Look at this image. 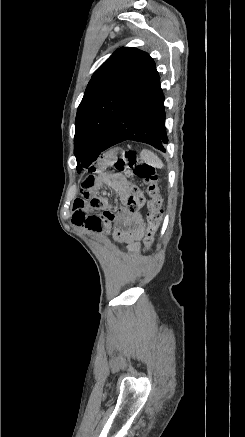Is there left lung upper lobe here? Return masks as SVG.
I'll use <instances>...</instances> for the list:
<instances>
[{"label": "left lung upper lobe", "instance_id": "1", "mask_svg": "<svg viewBox=\"0 0 245 437\" xmlns=\"http://www.w3.org/2000/svg\"><path fill=\"white\" fill-rule=\"evenodd\" d=\"M154 66L148 53L122 47L94 72L75 119L78 173L98 158L120 113Z\"/></svg>", "mask_w": 245, "mask_h": 437}]
</instances>
